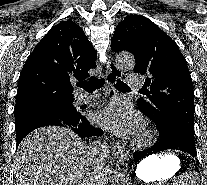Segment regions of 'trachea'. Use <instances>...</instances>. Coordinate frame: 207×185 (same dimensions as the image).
Masks as SVG:
<instances>
[{
    "mask_svg": "<svg viewBox=\"0 0 207 185\" xmlns=\"http://www.w3.org/2000/svg\"><path fill=\"white\" fill-rule=\"evenodd\" d=\"M104 80H100L96 77H92L88 82L80 83V87L84 88L87 92H94V90L103 87ZM117 90H130L128 85L121 80H118L117 83L114 85Z\"/></svg>",
    "mask_w": 207,
    "mask_h": 185,
    "instance_id": "3493384b",
    "label": "trachea"
}]
</instances>
